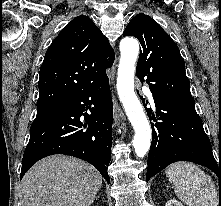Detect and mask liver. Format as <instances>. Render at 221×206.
<instances>
[{"instance_id": "1", "label": "liver", "mask_w": 221, "mask_h": 206, "mask_svg": "<svg viewBox=\"0 0 221 206\" xmlns=\"http://www.w3.org/2000/svg\"><path fill=\"white\" fill-rule=\"evenodd\" d=\"M101 185V174L89 163L63 155L49 156L23 177V206H90Z\"/></svg>"}]
</instances>
